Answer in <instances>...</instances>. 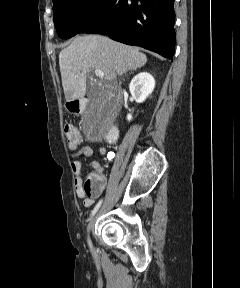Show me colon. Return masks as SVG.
Listing matches in <instances>:
<instances>
[{
    "label": "colon",
    "instance_id": "colon-1",
    "mask_svg": "<svg viewBox=\"0 0 240 288\" xmlns=\"http://www.w3.org/2000/svg\"><path fill=\"white\" fill-rule=\"evenodd\" d=\"M64 132L67 138V143L70 148L78 147L81 142L82 138L79 131L70 123H66L64 126ZM83 191L85 196L91 197L98 193L99 191V182L92 176H89L83 186Z\"/></svg>",
    "mask_w": 240,
    "mask_h": 288
}]
</instances>
